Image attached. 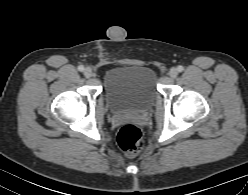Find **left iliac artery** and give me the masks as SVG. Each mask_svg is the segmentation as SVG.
I'll list each match as a JSON object with an SVG mask.
<instances>
[{
	"label": "left iliac artery",
	"instance_id": "obj_1",
	"mask_svg": "<svg viewBox=\"0 0 248 195\" xmlns=\"http://www.w3.org/2000/svg\"><path fill=\"white\" fill-rule=\"evenodd\" d=\"M177 69H178L179 72H182L184 70V67L180 65V66L177 67Z\"/></svg>",
	"mask_w": 248,
	"mask_h": 195
}]
</instances>
